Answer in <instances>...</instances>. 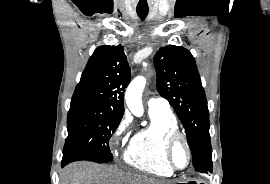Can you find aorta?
Returning a JSON list of instances; mask_svg holds the SVG:
<instances>
[{
  "label": "aorta",
  "mask_w": 270,
  "mask_h": 184,
  "mask_svg": "<svg viewBox=\"0 0 270 184\" xmlns=\"http://www.w3.org/2000/svg\"><path fill=\"white\" fill-rule=\"evenodd\" d=\"M146 84V79L143 76L134 78L125 92V101L129 110L135 116L143 114L142 92Z\"/></svg>",
  "instance_id": "obj_1"
}]
</instances>
